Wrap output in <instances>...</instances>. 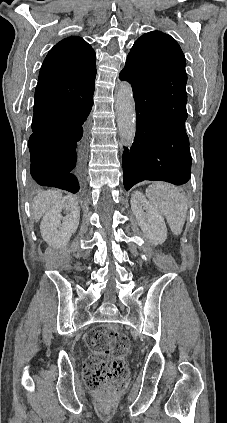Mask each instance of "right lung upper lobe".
Returning a JSON list of instances; mask_svg holds the SVG:
<instances>
[{
    "instance_id": "1",
    "label": "right lung upper lobe",
    "mask_w": 227,
    "mask_h": 423,
    "mask_svg": "<svg viewBox=\"0 0 227 423\" xmlns=\"http://www.w3.org/2000/svg\"><path fill=\"white\" fill-rule=\"evenodd\" d=\"M96 55L92 47L77 36L58 42L46 56L35 90V98L62 101L94 93ZM33 133L40 130L32 127Z\"/></svg>"
}]
</instances>
